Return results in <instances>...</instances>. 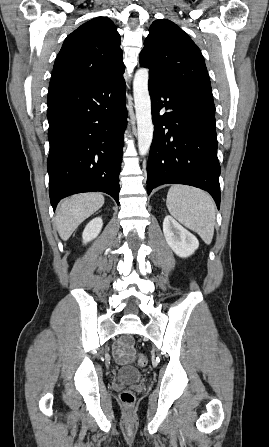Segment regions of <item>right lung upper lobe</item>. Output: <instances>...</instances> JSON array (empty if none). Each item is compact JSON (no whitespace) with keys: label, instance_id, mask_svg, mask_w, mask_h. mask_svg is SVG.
Masks as SVG:
<instances>
[{"label":"right lung upper lobe","instance_id":"1","mask_svg":"<svg viewBox=\"0 0 269 447\" xmlns=\"http://www.w3.org/2000/svg\"><path fill=\"white\" fill-rule=\"evenodd\" d=\"M120 35L107 17L94 18L67 36L54 63L49 91L97 85L123 74Z\"/></svg>","mask_w":269,"mask_h":447}]
</instances>
